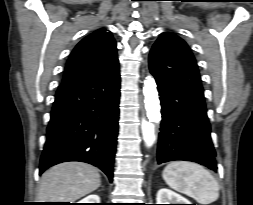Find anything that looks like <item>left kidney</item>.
I'll use <instances>...</instances> for the list:
<instances>
[{"instance_id": "left-kidney-1", "label": "left kidney", "mask_w": 253, "mask_h": 205, "mask_svg": "<svg viewBox=\"0 0 253 205\" xmlns=\"http://www.w3.org/2000/svg\"><path fill=\"white\" fill-rule=\"evenodd\" d=\"M156 201V204H191L189 200L168 188H161L157 192Z\"/></svg>"}]
</instances>
